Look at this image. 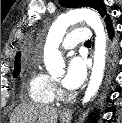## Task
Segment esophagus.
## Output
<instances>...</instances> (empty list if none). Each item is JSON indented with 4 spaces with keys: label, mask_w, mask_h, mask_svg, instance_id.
I'll list each match as a JSON object with an SVG mask.
<instances>
[{
    "label": "esophagus",
    "mask_w": 122,
    "mask_h": 123,
    "mask_svg": "<svg viewBox=\"0 0 122 123\" xmlns=\"http://www.w3.org/2000/svg\"><path fill=\"white\" fill-rule=\"evenodd\" d=\"M71 113H70V111L69 110H64L63 112H62V115H64V116H69Z\"/></svg>",
    "instance_id": "esophagus-1"
}]
</instances>
